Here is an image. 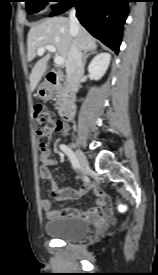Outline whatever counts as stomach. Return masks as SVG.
Wrapping results in <instances>:
<instances>
[{
	"instance_id": "stomach-1",
	"label": "stomach",
	"mask_w": 158,
	"mask_h": 275,
	"mask_svg": "<svg viewBox=\"0 0 158 275\" xmlns=\"http://www.w3.org/2000/svg\"><path fill=\"white\" fill-rule=\"evenodd\" d=\"M37 96L44 100H50L53 96V87L47 81L42 82L37 89Z\"/></svg>"
}]
</instances>
